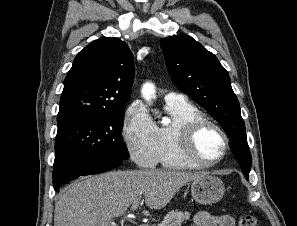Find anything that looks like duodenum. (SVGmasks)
<instances>
[{"instance_id":"duodenum-1","label":"duodenum","mask_w":297,"mask_h":226,"mask_svg":"<svg viewBox=\"0 0 297 226\" xmlns=\"http://www.w3.org/2000/svg\"><path fill=\"white\" fill-rule=\"evenodd\" d=\"M139 226H149V225L146 223H143V224H140Z\"/></svg>"}]
</instances>
